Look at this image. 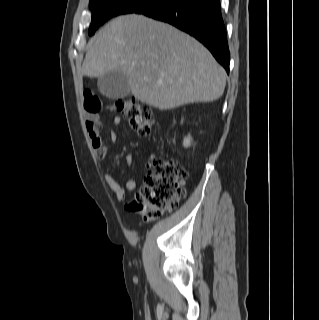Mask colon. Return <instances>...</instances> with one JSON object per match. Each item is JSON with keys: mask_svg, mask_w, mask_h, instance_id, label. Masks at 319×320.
I'll use <instances>...</instances> for the list:
<instances>
[{"mask_svg": "<svg viewBox=\"0 0 319 320\" xmlns=\"http://www.w3.org/2000/svg\"><path fill=\"white\" fill-rule=\"evenodd\" d=\"M130 128L140 136H149L154 123L153 112L146 104L129 99L117 103ZM185 169L171 158H152L147 164L144 185L128 209L149 222L173 209L185 197Z\"/></svg>", "mask_w": 319, "mask_h": 320, "instance_id": "1", "label": "colon"}]
</instances>
